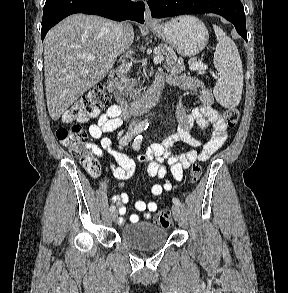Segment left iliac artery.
Returning a JSON list of instances; mask_svg holds the SVG:
<instances>
[{
  "label": "left iliac artery",
  "mask_w": 288,
  "mask_h": 293,
  "mask_svg": "<svg viewBox=\"0 0 288 293\" xmlns=\"http://www.w3.org/2000/svg\"><path fill=\"white\" fill-rule=\"evenodd\" d=\"M142 139H143L142 135H138V136L134 139V143H133V148H134V149H136V150L140 149V145H141ZM173 203H174L175 205H177V206L180 205V201H179V199H177V198H173Z\"/></svg>",
  "instance_id": "1"
}]
</instances>
